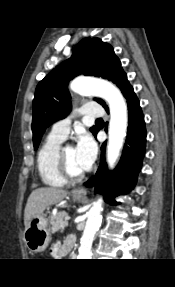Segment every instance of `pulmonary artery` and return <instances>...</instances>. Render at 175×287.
<instances>
[{"instance_id": "e3ab8cb5", "label": "pulmonary artery", "mask_w": 175, "mask_h": 287, "mask_svg": "<svg viewBox=\"0 0 175 287\" xmlns=\"http://www.w3.org/2000/svg\"><path fill=\"white\" fill-rule=\"evenodd\" d=\"M80 113L89 117H100L104 114V110L99 104L88 103L80 109ZM70 125V118L58 121L52 126L50 134L64 140L69 133Z\"/></svg>"}]
</instances>
